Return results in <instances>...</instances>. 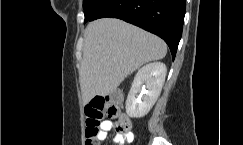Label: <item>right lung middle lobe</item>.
Returning a JSON list of instances; mask_svg holds the SVG:
<instances>
[{
  "label": "right lung middle lobe",
  "instance_id": "obj_1",
  "mask_svg": "<svg viewBox=\"0 0 243 145\" xmlns=\"http://www.w3.org/2000/svg\"><path fill=\"white\" fill-rule=\"evenodd\" d=\"M92 0H83V8L84 10L91 4ZM86 23V22H84Z\"/></svg>",
  "mask_w": 243,
  "mask_h": 145
}]
</instances>
